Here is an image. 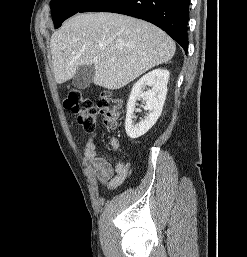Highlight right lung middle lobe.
<instances>
[{"label":"right lung middle lobe","instance_id":"right-lung-middle-lobe-1","mask_svg":"<svg viewBox=\"0 0 247 257\" xmlns=\"http://www.w3.org/2000/svg\"><path fill=\"white\" fill-rule=\"evenodd\" d=\"M91 0H51L50 7L54 27L59 28L64 20L79 12Z\"/></svg>","mask_w":247,"mask_h":257}]
</instances>
